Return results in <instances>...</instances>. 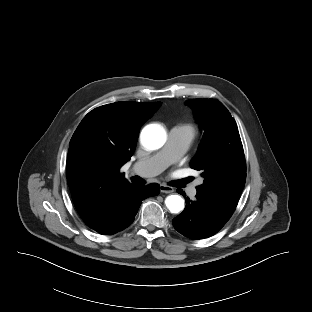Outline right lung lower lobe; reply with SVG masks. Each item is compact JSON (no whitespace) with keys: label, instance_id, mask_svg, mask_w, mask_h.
<instances>
[{"label":"right lung lower lobe","instance_id":"98d812e1","mask_svg":"<svg viewBox=\"0 0 312 312\" xmlns=\"http://www.w3.org/2000/svg\"><path fill=\"white\" fill-rule=\"evenodd\" d=\"M159 192L158 184L148 186L131 184L121 193L112 207L88 227L102 235L122 231L133 222L142 201L147 197L158 195Z\"/></svg>","mask_w":312,"mask_h":312}]
</instances>
